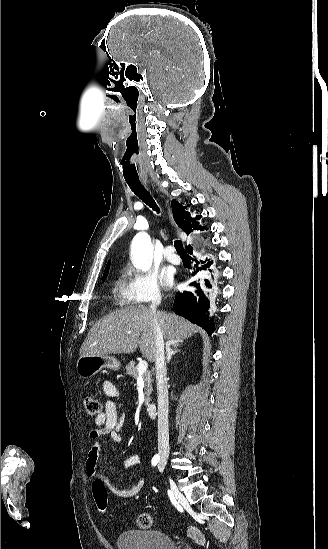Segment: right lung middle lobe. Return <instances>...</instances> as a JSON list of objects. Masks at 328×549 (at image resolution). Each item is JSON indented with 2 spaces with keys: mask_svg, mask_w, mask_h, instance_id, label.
<instances>
[{
  "mask_svg": "<svg viewBox=\"0 0 328 549\" xmlns=\"http://www.w3.org/2000/svg\"><path fill=\"white\" fill-rule=\"evenodd\" d=\"M107 275H108V272L104 273V275H103V282L105 281Z\"/></svg>",
  "mask_w": 328,
  "mask_h": 549,
  "instance_id": "dd1d6c3e",
  "label": "right lung middle lobe"
}]
</instances>
